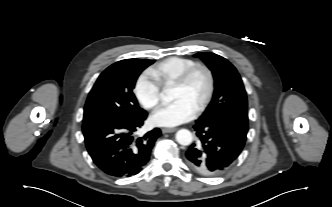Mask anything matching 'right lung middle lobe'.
I'll use <instances>...</instances> for the list:
<instances>
[{
  "label": "right lung middle lobe",
  "mask_w": 332,
  "mask_h": 207,
  "mask_svg": "<svg viewBox=\"0 0 332 207\" xmlns=\"http://www.w3.org/2000/svg\"><path fill=\"white\" fill-rule=\"evenodd\" d=\"M154 60L125 59L109 66L90 91L83 124L98 119L129 120L145 111L138 106L133 93L140 73Z\"/></svg>",
  "instance_id": "1"
}]
</instances>
